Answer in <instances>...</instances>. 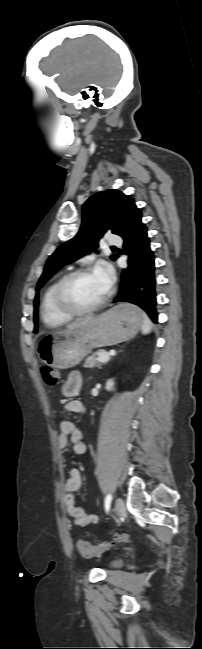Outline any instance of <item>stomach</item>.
Returning <instances> with one entry per match:
<instances>
[{"instance_id": "1", "label": "stomach", "mask_w": 202, "mask_h": 649, "mask_svg": "<svg viewBox=\"0 0 202 649\" xmlns=\"http://www.w3.org/2000/svg\"><path fill=\"white\" fill-rule=\"evenodd\" d=\"M142 314L131 305H118L85 324L53 332L37 344L39 359L56 369L78 364L91 348L112 346L134 337Z\"/></svg>"}]
</instances>
